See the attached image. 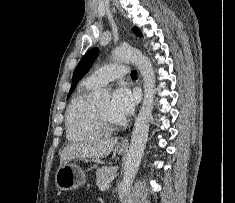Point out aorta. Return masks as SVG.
I'll return each instance as SVG.
<instances>
[{
    "label": "aorta",
    "instance_id": "obj_1",
    "mask_svg": "<svg viewBox=\"0 0 235 203\" xmlns=\"http://www.w3.org/2000/svg\"><path fill=\"white\" fill-rule=\"evenodd\" d=\"M116 62H128L136 65L143 78L144 99L135 119L131 143L124 167L123 180L120 185V200L127 194L138 171L148 139L149 122L155 97V73L150 60L132 47H118L112 53ZM106 93L104 92L103 95Z\"/></svg>",
    "mask_w": 235,
    "mask_h": 203
}]
</instances>
